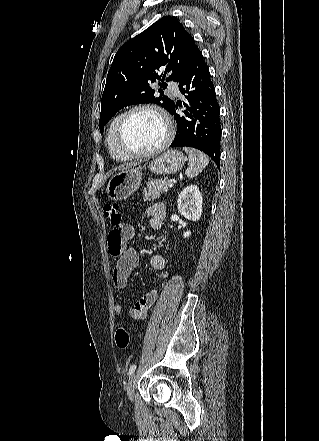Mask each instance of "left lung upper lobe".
<instances>
[{
    "instance_id": "obj_1",
    "label": "left lung upper lobe",
    "mask_w": 319,
    "mask_h": 441,
    "mask_svg": "<svg viewBox=\"0 0 319 441\" xmlns=\"http://www.w3.org/2000/svg\"><path fill=\"white\" fill-rule=\"evenodd\" d=\"M200 53L191 35L171 16L159 19L125 43L108 71L99 120L101 134L111 117L125 106L155 103L170 111L174 101L164 96L161 89V95L155 97L150 83L158 79L165 89L164 80L178 82ZM159 69L164 74L159 75ZM167 72L170 76L165 79Z\"/></svg>"
}]
</instances>
